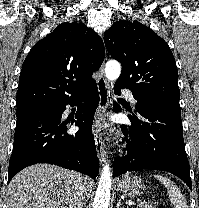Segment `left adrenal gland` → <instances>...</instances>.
I'll return each mask as SVG.
<instances>
[{
  "label": "left adrenal gland",
  "mask_w": 199,
  "mask_h": 208,
  "mask_svg": "<svg viewBox=\"0 0 199 208\" xmlns=\"http://www.w3.org/2000/svg\"><path fill=\"white\" fill-rule=\"evenodd\" d=\"M121 206V200L119 199L117 204H116V208H119Z\"/></svg>",
  "instance_id": "1"
}]
</instances>
